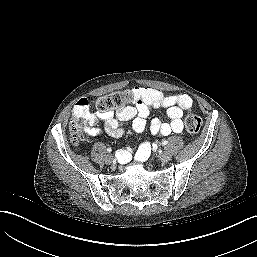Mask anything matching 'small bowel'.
<instances>
[{
    "mask_svg": "<svg viewBox=\"0 0 257 257\" xmlns=\"http://www.w3.org/2000/svg\"><path fill=\"white\" fill-rule=\"evenodd\" d=\"M135 94L134 104L126 106L116 113H90L91 124L96 120L104 122V129L111 137H119L123 133V124L131 122L135 132L144 131L151 108L165 109L169 118L168 122H163L158 118H154L150 122V132L155 136H168L170 134H178L183 131L182 116L188 110L193 101L186 94L165 95L159 90L153 88L137 87L133 89ZM87 133L96 136L100 133V129L91 127L87 129ZM151 152V146L148 142L141 144L135 153V159L139 162L145 161ZM119 160L125 162L130 158V150H120Z\"/></svg>",
    "mask_w": 257,
    "mask_h": 257,
    "instance_id": "c3829d8e",
    "label": "small bowel"
}]
</instances>
